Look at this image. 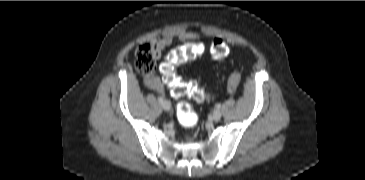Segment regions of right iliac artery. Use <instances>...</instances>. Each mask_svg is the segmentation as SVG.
I'll return each instance as SVG.
<instances>
[{"label":"right iliac artery","mask_w":365,"mask_h":180,"mask_svg":"<svg viewBox=\"0 0 365 180\" xmlns=\"http://www.w3.org/2000/svg\"><path fill=\"white\" fill-rule=\"evenodd\" d=\"M158 101H159L160 103H162V102H163V98H162V97H158Z\"/></svg>","instance_id":"82829eb1"}]
</instances>
